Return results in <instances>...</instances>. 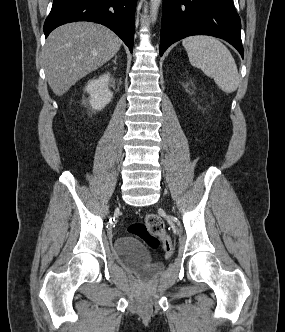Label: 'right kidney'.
Here are the masks:
<instances>
[{
  "mask_svg": "<svg viewBox=\"0 0 285 332\" xmlns=\"http://www.w3.org/2000/svg\"><path fill=\"white\" fill-rule=\"evenodd\" d=\"M111 76L109 73L101 75L98 79L88 82L85 87L86 92L90 95V105L95 110L103 109L110 103L113 93L109 90Z\"/></svg>",
  "mask_w": 285,
  "mask_h": 332,
  "instance_id": "ca27d5eb",
  "label": "right kidney"
}]
</instances>
